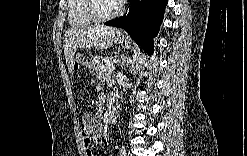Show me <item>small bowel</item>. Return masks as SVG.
Wrapping results in <instances>:
<instances>
[{
	"instance_id": "small-bowel-1",
	"label": "small bowel",
	"mask_w": 247,
	"mask_h": 156,
	"mask_svg": "<svg viewBox=\"0 0 247 156\" xmlns=\"http://www.w3.org/2000/svg\"><path fill=\"white\" fill-rule=\"evenodd\" d=\"M91 138L89 137H84V143H85V154L88 156L93 155V151L90 149L89 147V143H90ZM96 141H100L99 138H96Z\"/></svg>"
}]
</instances>
